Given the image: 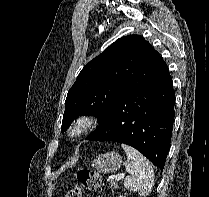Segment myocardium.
Returning <instances> with one entry per match:
<instances>
[{
    "mask_svg": "<svg viewBox=\"0 0 209 197\" xmlns=\"http://www.w3.org/2000/svg\"><path fill=\"white\" fill-rule=\"evenodd\" d=\"M98 117L92 114H81L77 116L66 131L69 141L75 142L83 138L98 123Z\"/></svg>",
    "mask_w": 209,
    "mask_h": 197,
    "instance_id": "obj_1",
    "label": "myocardium"
}]
</instances>
